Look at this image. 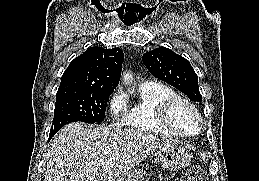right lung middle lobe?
<instances>
[{"instance_id": "right-lung-middle-lobe-1", "label": "right lung middle lobe", "mask_w": 259, "mask_h": 181, "mask_svg": "<svg viewBox=\"0 0 259 181\" xmlns=\"http://www.w3.org/2000/svg\"><path fill=\"white\" fill-rule=\"evenodd\" d=\"M112 92L86 89H58L50 135L71 122L97 123L105 118Z\"/></svg>"}]
</instances>
